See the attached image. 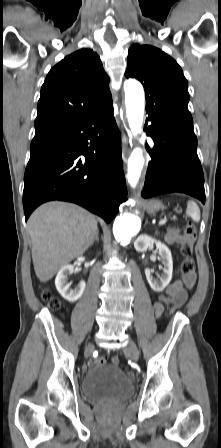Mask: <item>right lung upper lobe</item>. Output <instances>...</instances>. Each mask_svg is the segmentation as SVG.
<instances>
[{
	"label": "right lung upper lobe",
	"instance_id": "1",
	"mask_svg": "<svg viewBox=\"0 0 221 448\" xmlns=\"http://www.w3.org/2000/svg\"><path fill=\"white\" fill-rule=\"evenodd\" d=\"M112 101L109 78L99 56L83 48L48 73L41 88L35 136L81 117Z\"/></svg>",
	"mask_w": 221,
	"mask_h": 448
}]
</instances>
